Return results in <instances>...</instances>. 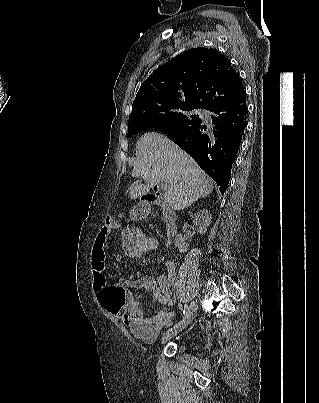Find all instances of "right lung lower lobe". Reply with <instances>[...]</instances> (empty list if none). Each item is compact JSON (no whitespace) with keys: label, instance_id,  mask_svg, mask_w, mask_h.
<instances>
[{"label":"right lung lower lobe","instance_id":"obj_1","mask_svg":"<svg viewBox=\"0 0 319 403\" xmlns=\"http://www.w3.org/2000/svg\"><path fill=\"white\" fill-rule=\"evenodd\" d=\"M245 101L209 110L214 124L211 129L200 120L182 129L164 131L216 181L222 195L228 186L232 164L246 127Z\"/></svg>","mask_w":319,"mask_h":403}]
</instances>
